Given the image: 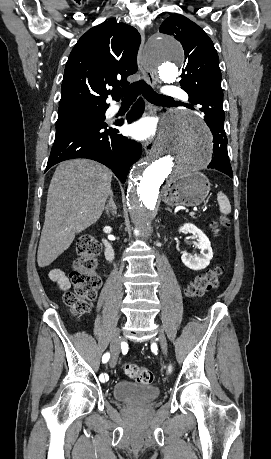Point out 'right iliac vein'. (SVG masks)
I'll return each instance as SVG.
<instances>
[{
  "label": "right iliac vein",
  "mask_w": 271,
  "mask_h": 459,
  "mask_svg": "<svg viewBox=\"0 0 271 459\" xmlns=\"http://www.w3.org/2000/svg\"><path fill=\"white\" fill-rule=\"evenodd\" d=\"M110 348H111V358L109 361V365L111 367H114L117 364L119 353H120L119 332H116V334L111 339Z\"/></svg>",
  "instance_id": "obj_1"
}]
</instances>
